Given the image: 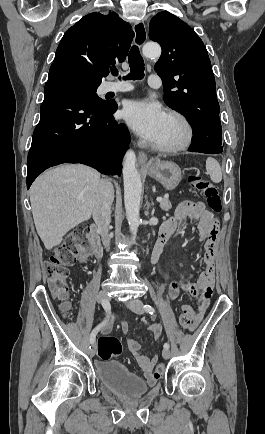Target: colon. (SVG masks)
I'll return each instance as SVG.
<instances>
[{"instance_id": "1", "label": "colon", "mask_w": 265, "mask_h": 434, "mask_svg": "<svg viewBox=\"0 0 265 434\" xmlns=\"http://www.w3.org/2000/svg\"><path fill=\"white\" fill-rule=\"evenodd\" d=\"M190 185L202 196L205 197L208 206L215 212L222 211V202L217 187L210 181L203 179L199 175H192L189 179ZM76 242L72 238L62 241L51 253L49 261L43 268L44 277L48 280L52 293L61 299H65L69 292L68 276L69 266L73 265L76 260ZM189 287L187 290L189 291ZM183 310L179 317L180 325L187 330L193 327L194 319H186ZM97 353L103 362L109 361L113 356H119L122 353V343L116 336H101L97 343ZM154 371V378L159 379L164 370L162 365L164 360L159 362Z\"/></svg>"}]
</instances>
